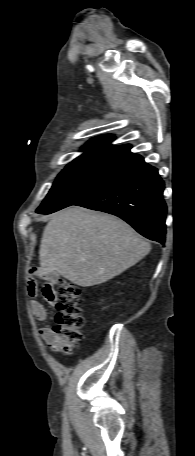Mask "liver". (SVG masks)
<instances>
[{"label":"liver","mask_w":195,"mask_h":456,"mask_svg":"<svg viewBox=\"0 0 195 456\" xmlns=\"http://www.w3.org/2000/svg\"><path fill=\"white\" fill-rule=\"evenodd\" d=\"M150 250V244L123 220L73 206L53 214L46 225L39 272L89 287L120 275Z\"/></svg>","instance_id":"6515ba94"}]
</instances>
